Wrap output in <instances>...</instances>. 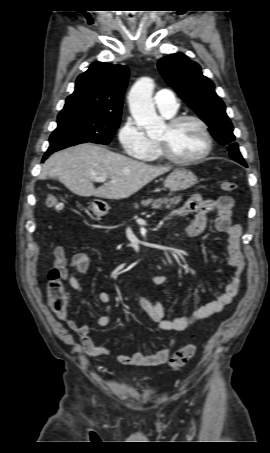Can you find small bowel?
I'll return each mask as SVG.
<instances>
[{
    "mask_svg": "<svg viewBox=\"0 0 270 453\" xmlns=\"http://www.w3.org/2000/svg\"><path fill=\"white\" fill-rule=\"evenodd\" d=\"M233 206L234 200L230 196H221L216 200H204L200 196L194 195L186 201L180 210L169 216V218H171L176 215L194 213V217L187 226L186 232L189 237L195 238L205 229L206 215L210 212H215V229L218 232L227 234L226 252L228 255V265L234 269V275L222 294L215 300L200 306L188 315H179L168 318L164 306L159 299L155 298L151 303L144 294H141L139 296V301L142 308L150 319L157 323L162 331H184L195 323L203 321L223 310L224 307L231 304L233 298L237 295L242 284L245 259L241 247V238L243 234L242 227L232 221ZM53 263L55 269L59 271L61 278L68 282L74 290L83 293V286L75 276L74 271L78 274H86L90 266L89 256L84 252H78L75 253L68 262L65 257L63 246L57 245L53 249ZM168 280L169 276L167 274H158L150 278V283L154 286H158L167 283ZM97 301L104 306L105 314L96 320L95 325L98 327H106L110 323L112 313L110 295L104 291L100 292L97 295ZM58 317L66 323L69 329L78 335L81 345L88 355L99 357L107 355L110 352L108 347L96 345L94 343L90 337V325H81L76 320L68 317L67 314ZM173 347L174 342L169 347L152 354H143L140 352H132L131 354L121 353L117 356V361L122 365L145 367L158 366L169 360Z\"/></svg>",
    "mask_w": 270,
    "mask_h": 453,
    "instance_id": "1",
    "label": "small bowel"
}]
</instances>
